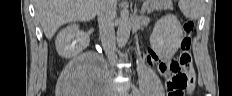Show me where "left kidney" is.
Segmentation results:
<instances>
[{
  "label": "left kidney",
  "instance_id": "obj_1",
  "mask_svg": "<svg viewBox=\"0 0 232 96\" xmlns=\"http://www.w3.org/2000/svg\"><path fill=\"white\" fill-rule=\"evenodd\" d=\"M183 38V31L177 17L168 14L159 19L150 36V44L162 59H170L177 52Z\"/></svg>",
  "mask_w": 232,
  "mask_h": 96
}]
</instances>
